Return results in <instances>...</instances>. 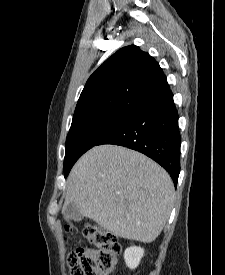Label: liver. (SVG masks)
<instances>
[{"instance_id":"6515ba94","label":"liver","mask_w":225,"mask_h":275,"mask_svg":"<svg viewBox=\"0 0 225 275\" xmlns=\"http://www.w3.org/2000/svg\"><path fill=\"white\" fill-rule=\"evenodd\" d=\"M173 200V182L156 162L125 147L100 145L73 166L63 212L75 203L115 236L150 243L164 228Z\"/></svg>"}]
</instances>
